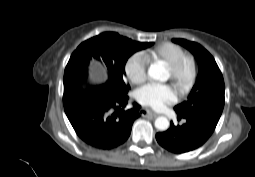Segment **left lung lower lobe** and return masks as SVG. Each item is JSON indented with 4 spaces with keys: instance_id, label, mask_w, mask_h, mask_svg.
I'll return each instance as SVG.
<instances>
[{
    "instance_id": "obj_1",
    "label": "left lung lower lobe",
    "mask_w": 255,
    "mask_h": 177,
    "mask_svg": "<svg viewBox=\"0 0 255 177\" xmlns=\"http://www.w3.org/2000/svg\"><path fill=\"white\" fill-rule=\"evenodd\" d=\"M186 123L174 126L171 122L170 128L165 132L156 134L157 142L166 150L173 153H186L202 146L213 133L217 123L206 119L184 117Z\"/></svg>"
}]
</instances>
